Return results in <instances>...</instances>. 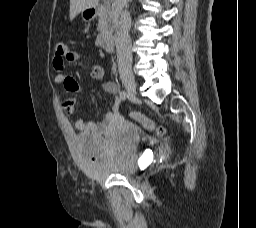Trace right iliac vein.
Instances as JSON below:
<instances>
[{
  "label": "right iliac vein",
  "instance_id": "obj_1",
  "mask_svg": "<svg viewBox=\"0 0 256 228\" xmlns=\"http://www.w3.org/2000/svg\"><path fill=\"white\" fill-rule=\"evenodd\" d=\"M122 82L128 91L129 94L131 95H136V81L133 75L131 74H126L122 77Z\"/></svg>",
  "mask_w": 256,
  "mask_h": 228
}]
</instances>
